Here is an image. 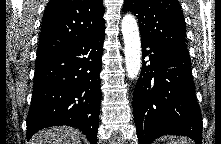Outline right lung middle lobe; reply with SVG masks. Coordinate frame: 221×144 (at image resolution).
Returning a JSON list of instances; mask_svg holds the SVG:
<instances>
[{
	"label": "right lung middle lobe",
	"instance_id": "right-lung-middle-lobe-1",
	"mask_svg": "<svg viewBox=\"0 0 221 144\" xmlns=\"http://www.w3.org/2000/svg\"><path fill=\"white\" fill-rule=\"evenodd\" d=\"M42 58H44V57H37L36 60H39V59H42Z\"/></svg>",
	"mask_w": 221,
	"mask_h": 144
}]
</instances>
